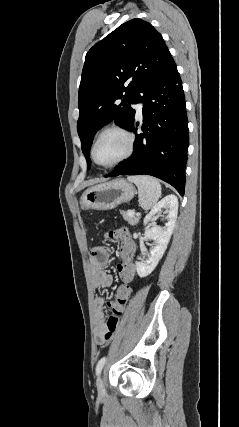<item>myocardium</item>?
Returning <instances> with one entry per match:
<instances>
[{
    "mask_svg": "<svg viewBox=\"0 0 239 427\" xmlns=\"http://www.w3.org/2000/svg\"><path fill=\"white\" fill-rule=\"evenodd\" d=\"M109 132H117V133H120L124 136V138L126 140V150H125L124 154L119 159H117L116 161H114L110 164H100L95 159V147H96L98 141L100 140V138L104 134L109 133ZM134 142H135V139H134L133 133L129 129H127L126 127L119 125V124H113V125L107 126V127L103 128L98 133V135L96 136V138H95V140L91 146V149H90L91 159L97 166H100L102 168H106V169L114 168V167L118 166L119 164L123 163L124 161H126L132 155L133 149H134Z\"/></svg>",
    "mask_w": 239,
    "mask_h": 427,
    "instance_id": "f54148a6",
    "label": "myocardium"
}]
</instances>
